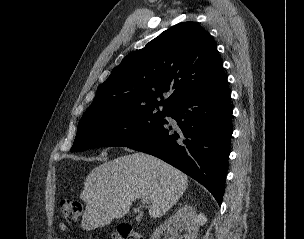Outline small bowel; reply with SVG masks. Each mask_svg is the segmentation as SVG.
Masks as SVG:
<instances>
[{
    "mask_svg": "<svg viewBox=\"0 0 304 239\" xmlns=\"http://www.w3.org/2000/svg\"><path fill=\"white\" fill-rule=\"evenodd\" d=\"M58 228L61 232L67 231V225L65 223H59ZM53 239H60L59 237H54Z\"/></svg>",
    "mask_w": 304,
    "mask_h": 239,
    "instance_id": "obj_1",
    "label": "small bowel"
}]
</instances>
